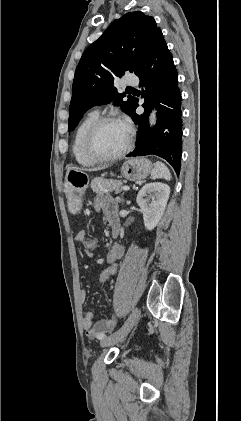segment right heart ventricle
Instances as JSON below:
<instances>
[{"mask_svg": "<svg viewBox=\"0 0 241 421\" xmlns=\"http://www.w3.org/2000/svg\"><path fill=\"white\" fill-rule=\"evenodd\" d=\"M99 118L98 113L95 111L89 112L81 120L77 126L73 141H72V154L75 161L82 166H92L96 163L95 160L90 158L84 150V138L89 127Z\"/></svg>", "mask_w": 241, "mask_h": 421, "instance_id": "1", "label": "right heart ventricle"}]
</instances>
